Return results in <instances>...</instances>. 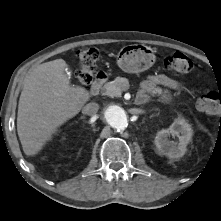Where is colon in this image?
Returning <instances> with one entry per match:
<instances>
[{"label": "colon", "mask_w": 221, "mask_h": 221, "mask_svg": "<svg viewBox=\"0 0 221 221\" xmlns=\"http://www.w3.org/2000/svg\"><path fill=\"white\" fill-rule=\"evenodd\" d=\"M76 57L80 64L77 79L83 84H89L95 76L100 53L96 48H83L76 51ZM164 68L185 74L192 70L193 65L187 55L176 52L165 58ZM197 106L202 112L208 114L219 113L221 111V93L214 91L203 93L197 100Z\"/></svg>", "instance_id": "5ec220e1"}]
</instances>
